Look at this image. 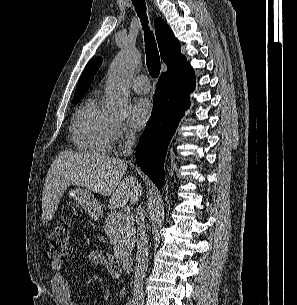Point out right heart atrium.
Returning <instances> with one entry per match:
<instances>
[{"mask_svg": "<svg viewBox=\"0 0 297 305\" xmlns=\"http://www.w3.org/2000/svg\"><path fill=\"white\" fill-rule=\"evenodd\" d=\"M112 130L114 139L121 143L127 144L134 138V132L120 120H113Z\"/></svg>", "mask_w": 297, "mask_h": 305, "instance_id": "obj_1", "label": "right heart atrium"}]
</instances>
